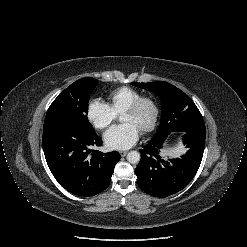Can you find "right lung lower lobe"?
Wrapping results in <instances>:
<instances>
[{
	"instance_id": "right-lung-lower-lobe-1",
	"label": "right lung lower lobe",
	"mask_w": 247,
	"mask_h": 247,
	"mask_svg": "<svg viewBox=\"0 0 247 247\" xmlns=\"http://www.w3.org/2000/svg\"><path fill=\"white\" fill-rule=\"evenodd\" d=\"M43 150L50 171L67 191L84 197L105 190L121 156L117 151H92L102 140L94 130L78 122L44 123Z\"/></svg>"
}]
</instances>
